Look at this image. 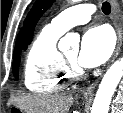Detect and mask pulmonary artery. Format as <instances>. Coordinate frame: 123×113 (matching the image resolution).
Segmentation results:
<instances>
[{
	"label": "pulmonary artery",
	"instance_id": "e3ab8cb5",
	"mask_svg": "<svg viewBox=\"0 0 123 113\" xmlns=\"http://www.w3.org/2000/svg\"><path fill=\"white\" fill-rule=\"evenodd\" d=\"M95 9L93 4L87 3L72 6L53 18L50 26L60 32H65L75 25L87 23Z\"/></svg>",
	"mask_w": 123,
	"mask_h": 113
}]
</instances>
